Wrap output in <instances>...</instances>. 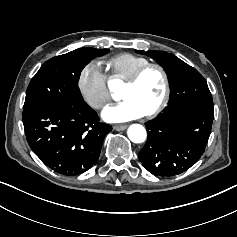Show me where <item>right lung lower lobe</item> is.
Masks as SVG:
<instances>
[{
	"label": "right lung lower lobe",
	"mask_w": 237,
	"mask_h": 237,
	"mask_svg": "<svg viewBox=\"0 0 237 237\" xmlns=\"http://www.w3.org/2000/svg\"><path fill=\"white\" fill-rule=\"evenodd\" d=\"M26 139L35 154L63 175L91 168L112 129L84 101L58 102L23 113Z\"/></svg>",
	"instance_id": "98d812e1"
}]
</instances>
